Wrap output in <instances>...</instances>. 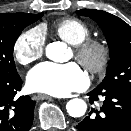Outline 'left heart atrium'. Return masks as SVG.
<instances>
[{
	"label": "left heart atrium",
	"mask_w": 131,
	"mask_h": 131,
	"mask_svg": "<svg viewBox=\"0 0 131 131\" xmlns=\"http://www.w3.org/2000/svg\"><path fill=\"white\" fill-rule=\"evenodd\" d=\"M27 85L34 92L66 96L86 88L88 78L76 63L44 62L30 70Z\"/></svg>",
	"instance_id": "obj_1"
}]
</instances>
